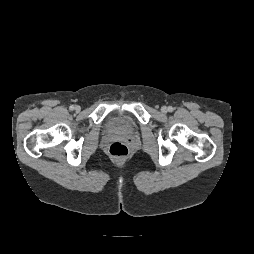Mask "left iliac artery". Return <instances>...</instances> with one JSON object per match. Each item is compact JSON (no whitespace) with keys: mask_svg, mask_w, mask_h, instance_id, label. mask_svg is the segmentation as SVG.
Masks as SVG:
<instances>
[{"mask_svg":"<svg viewBox=\"0 0 254 254\" xmlns=\"http://www.w3.org/2000/svg\"><path fill=\"white\" fill-rule=\"evenodd\" d=\"M168 111H169V112H172V111H173V107H172V106H169V107H168Z\"/></svg>","mask_w":254,"mask_h":254,"instance_id":"44dca946","label":"left iliac artery"}]
</instances>
